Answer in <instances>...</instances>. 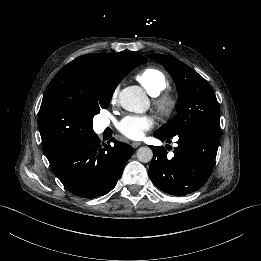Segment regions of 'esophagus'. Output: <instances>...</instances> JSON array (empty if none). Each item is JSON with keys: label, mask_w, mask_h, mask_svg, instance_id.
I'll list each match as a JSON object with an SVG mask.
<instances>
[{"label": "esophagus", "mask_w": 261, "mask_h": 261, "mask_svg": "<svg viewBox=\"0 0 261 261\" xmlns=\"http://www.w3.org/2000/svg\"><path fill=\"white\" fill-rule=\"evenodd\" d=\"M141 145V142H132L131 143V146L133 147V148H137V147H139Z\"/></svg>", "instance_id": "1"}]
</instances>
